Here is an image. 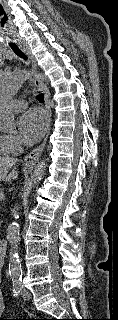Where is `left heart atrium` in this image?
I'll return each instance as SVG.
<instances>
[{
	"instance_id": "1",
	"label": "left heart atrium",
	"mask_w": 118,
	"mask_h": 320,
	"mask_svg": "<svg viewBox=\"0 0 118 320\" xmlns=\"http://www.w3.org/2000/svg\"><path fill=\"white\" fill-rule=\"evenodd\" d=\"M48 127V117L38 109L32 108L26 111L19 120V131L26 143L38 141Z\"/></svg>"
}]
</instances>
